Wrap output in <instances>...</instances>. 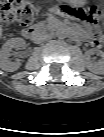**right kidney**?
I'll list each match as a JSON object with an SVG mask.
<instances>
[{"label": "right kidney", "mask_w": 104, "mask_h": 137, "mask_svg": "<svg viewBox=\"0 0 104 137\" xmlns=\"http://www.w3.org/2000/svg\"><path fill=\"white\" fill-rule=\"evenodd\" d=\"M25 40L20 37L8 40L0 50V68L4 71L13 72L20 67V60L11 61L13 48H24Z\"/></svg>", "instance_id": "obj_1"}]
</instances>
